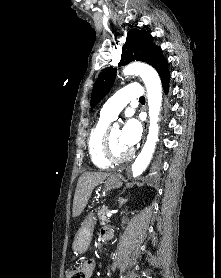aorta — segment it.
<instances>
[{
    "label": "aorta",
    "instance_id": "aorta-1",
    "mask_svg": "<svg viewBox=\"0 0 221 278\" xmlns=\"http://www.w3.org/2000/svg\"><path fill=\"white\" fill-rule=\"evenodd\" d=\"M125 76L139 75L147 89L149 106V131L146 142L132 165L133 177L139 176L148 166L158 140L159 126L157 124L162 102V87L158 73L146 63H130L123 69Z\"/></svg>",
    "mask_w": 221,
    "mask_h": 278
}]
</instances>
